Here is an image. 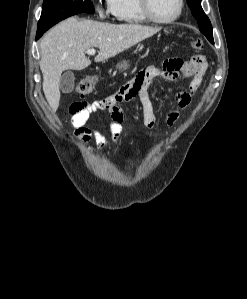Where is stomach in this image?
Instances as JSON below:
<instances>
[{
	"instance_id": "0dacf381",
	"label": "stomach",
	"mask_w": 247,
	"mask_h": 299,
	"mask_svg": "<svg viewBox=\"0 0 247 299\" xmlns=\"http://www.w3.org/2000/svg\"><path fill=\"white\" fill-rule=\"evenodd\" d=\"M128 67H129V64L127 61L120 62L116 65V68H118L120 71H124V70L128 69Z\"/></svg>"
}]
</instances>
